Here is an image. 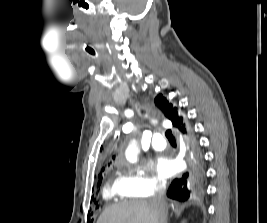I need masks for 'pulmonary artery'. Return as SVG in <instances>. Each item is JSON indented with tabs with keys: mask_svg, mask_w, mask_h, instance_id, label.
I'll return each mask as SVG.
<instances>
[{
	"mask_svg": "<svg viewBox=\"0 0 267 223\" xmlns=\"http://www.w3.org/2000/svg\"><path fill=\"white\" fill-rule=\"evenodd\" d=\"M152 147L156 151H162L167 146V143L161 134H155L152 138Z\"/></svg>",
	"mask_w": 267,
	"mask_h": 223,
	"instance_id": "e3ab8cb5",
	"label": "pulmonary artery"
}]
</instances>
